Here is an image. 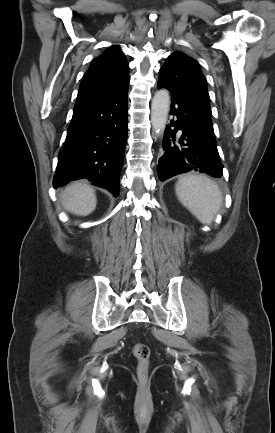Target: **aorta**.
<instances>
[{"instance_id": "aorta-1", "label": "aorta", "mask_w": 275, "mask_h": 433, "mask_svg": "<svg viewBox=\"0 0 275 433\" xmlns=\"http://www.w3.org/2000/svg\"><path fill=\"white\" fill-rule=\"evenodd\" d=\"M170 109V94L166 89L158 90L151 104V124L154 133L158 136L162 135Z\"/></svg>"}]
</instances>
